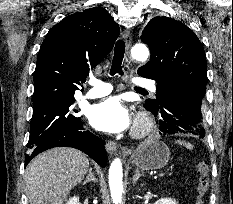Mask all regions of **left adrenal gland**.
<instances>
[{
    "mask_svg": "<svg viewBox=\"0 0 233 204\" xmlns=\"http://www.w3.org/2000/svg\"><path fill=\"white\" fill-rule=\"evenodd\" d=\"M141 176H143V174L140 173L139 169H136L135 174L133 175V179H132L133 185H135L137 183L138 179Z\"/></svg>",
    "mask_w": 233,
    "mask_h": 204,
    "instance_id": "obj_1",
    "label": "left adrenal gland"
}]
</instances>
